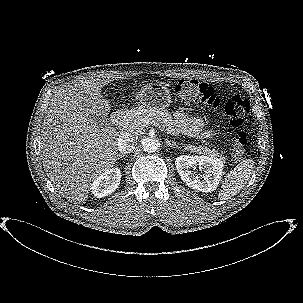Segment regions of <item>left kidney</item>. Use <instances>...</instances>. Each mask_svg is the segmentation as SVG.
<instances>
[{
	"mask_svg": "<svg viewBox=\"0 0 303 303\" xmlns=\"http://www.w3.org/2000/svg\"><path fill=\"white\" fill-rule=\"evenodd\" d=\"M175 165L181 179L197 191L212 192L221 180L223 162L217 158L181 155L176 158ZM196 168L205 169L203 175L196 174Z\"/></svg>",
	"mask_w": 303,
	"mask_h": 303,
	"instance_id": "1",
	"label": "left kidney"
}]
</instances>
